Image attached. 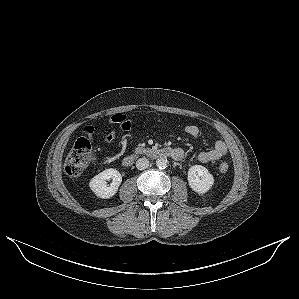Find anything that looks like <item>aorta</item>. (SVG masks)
I'll return each instance as SVG.
<instances>
[{
  "mask_svg": "<svg viewBox=\"0 0 299 299\" xmlns=\"http://www.w3.org/2000/svg\"><path fill=\"white\" fill-rule=\"evenodd\" d=\"M156 166L159 169H165L167 167V159H165V158H158L156 160Z\"/></svg>",
  "mask_w": 299,
  "mask_h": 299,
  "instance_id": "obj_1",
  "label": "aorta"
}]
</instances>
